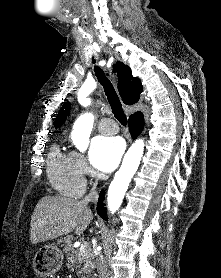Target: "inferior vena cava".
Returning a JSON list of instances; mask_svg holds the SVG:
<instances>
[{
  "mask_svg": "<svg viewBox=\"0 0 221 278\" xmlns=\"http://www.w3.org/2000/svg\"><path fill=\"white\" fill-rule=\"evenodd\" d=\"M98 200V194L96 191L90 193L89 195L85 196L83 202L88 204L89 202H96ZM93 264L96 266L98 277L99 278H109L110 273L108 266L103 258V255L98 252L97 250L94 251L92 255Z\"/></svg>",
  "mask_w": 221,
  "mask_h": 278,
  "instance_id": "1",
  "label": "inferior vena cava"
}]
</instances>
